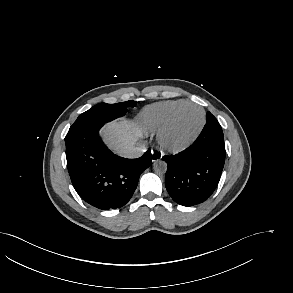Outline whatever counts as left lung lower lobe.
I'll list each match as a JSON object with an SVG mask.
<instances>
[{"instance_id":"0a47b994","label":"left lung lower lobe","mask_w":293,"mask_h":293,"mask_svg":"<svg viewBox=\"0 0 293 293\" xmlns=\"http://www.w3.org/2000/svg\"><path fill=\"white\" fill-rule=\"evenodd\" d=\"M225 153L222 128L219 122L208 119L189 148L162 158L168 165L165 186L172 199L192 206L209 198L220 180Z\"/></svg>"}]
</instances>
